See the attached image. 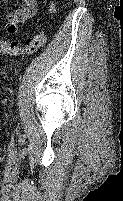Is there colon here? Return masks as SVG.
<instances>
[{"instance_id":"1","label":"colon","mask_w":123,"mask_h":201,"mask_svg":"<svg viewBox=\"0 0 123 201\" xmlns=\"http://www.w3.org/2000/svg\"><path fill=\"white\" fill-rule=\"evenodd\" d=\"M53 12L54 4L51 3L48 7V14L51 15ZM44 21H46V19ZM46 42L47 36L43 30L39 31L34 37L27 39L24 45H20L17 42L0 40V56L30 55L43 48Z\"/></svg>"}]
</instances>
